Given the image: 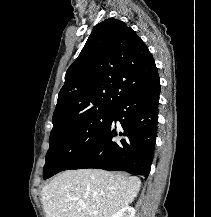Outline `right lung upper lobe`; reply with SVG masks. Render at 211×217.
Returning <instances> with one entry per match:
<instances>
[{"label": "right lung upper lobe", "mask_w": 211, "mask_h": 217, "mask_svg": "<svg viewBox=\"0 0 211 217\" xmlns=\"http://www.w3.org/2000/svg\"><path fill=\"white\" fill-rule=\"evenodd\" d=\"M158 76L151 53L124 22L97 24L65 75L53 128L80 115L115 107L135 88Z\"/></svg>", "instance_id": "1"}]
</instances>
